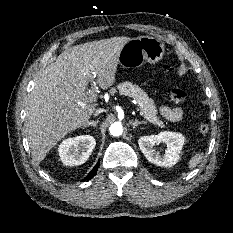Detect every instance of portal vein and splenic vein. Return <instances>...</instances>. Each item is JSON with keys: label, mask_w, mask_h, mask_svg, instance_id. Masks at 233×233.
<instances>
[{"label": "portal vein and splenic vein", "mask_w": 233, "mask_h": 233, "mask_svg": "<svg viewBox=\"0 0 233 233\" xmlns=\"http://www.w3.org/2000/svg\"><path fill=\"white\" fill-rule=\"evenodd\" d=\"M95 77H96V75H95V73H91V74H89V80H90V82H91V85H92V87H91V89L87 92V100L88 101H91V102H94V101H96L97 100V94L95 93L96 91H95V86H96V84H95ZM140 115H141V112H140Z\"/></svg>", "instance_id": "obj_1"}]
</instances>
